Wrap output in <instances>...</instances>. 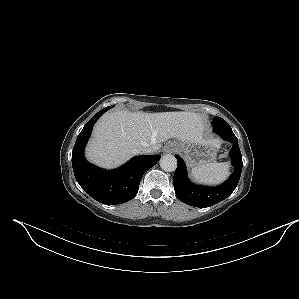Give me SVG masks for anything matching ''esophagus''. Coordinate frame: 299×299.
<instances>
[{
	"label": "esophagus",
	"instance_id": "esophagus-1",
	"mask_svg": "<svg viewBox=\"0 0 299 299\" xmlns=\"http://www.w3.org/2000/svg\"><path fill=\"white\" fill-rule=\"evenodd\" d=\"M173 150H174V149L170 147V148H167V149H166V152L171 153Z\"/></svg>",
	"mask_w": 299,
	"mask_h": 299
}]
</instances>
